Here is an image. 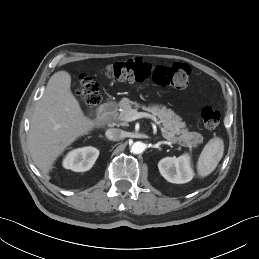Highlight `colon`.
Returning a JSON list of instances; mask_svg holds the SVG:
<instances>
[{
  "mask_svg": "<svg viewBox=\"0 0 259 259\" xmlns=\"http://www.w3.org/2000/svg\"><path fill=\"white\" fill-rule=\"evenodd\" d=\"M105 74L108 78L121 82L152 80L159 86L182 90L189 84L191 70L184 63L154 66L136 59L109 64ZM78 95L89 110H93L100 102L96 82L85 75L78 80ZM201 119L205 128L213 130L219 125L221 114L215 108L205 107L201 111Z\"/></svg>",
  "mask_w": 259,
  "mask_h": 259,
  "instance_id": "1",
  "label": "colon"
}]
</instances>
